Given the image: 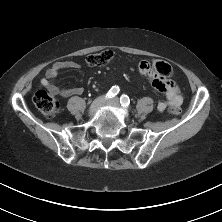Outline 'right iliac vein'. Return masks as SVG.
Listing matches in <instances>:
<instances>
[{
	"label": "right iliac vein",
	"mask_w": 222,
	"mask_h": 222,
	"mask_svg": "<svg viewBox=\"0 0 222 222\" xmlns=\"http://www.w3.org/2000/svg\"><path fill=\"white\" fill-rule=\"evenodd\" d=\"M106 100L104 97H98L95 99L89 107L88 114L90 116L95 115L98 109L105 104Z\"/></svg>",
	"instance_id": "obj_1"
}]
</instances>
